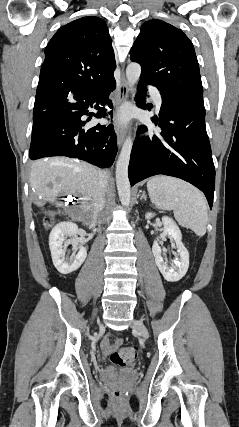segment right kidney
<instances>
[{"label":"right kidney","mask_w":239,"mask_h":427,"mask_svg":"<svg viewBox=\"0 0 239 427\" xmlns=\"http://www.w3.org/2000/svg\"><path fill=\"white\" fill-rule=\"evenodd\" d=\"M78 226L73 222H61L51 231L49 236V247L51 250L52 261L56 269L61 274H69L76 271L83 264L87 257V250L83 246L77 247L78 244ZM67 237L71 240L66 242ZM72 243L74 248L79 249L69 261L65 259L66 247Z\"/></svg>","instance_id":"1"}]
</instances>
